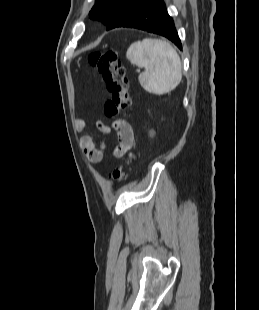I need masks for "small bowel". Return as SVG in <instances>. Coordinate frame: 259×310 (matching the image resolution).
I'll return each instance as SVG.
<instances>
[{"label":"small bowel","mask_w":259,"mask_h":310,"mask_svg":"<svg viewBox=\"0 0 259 310\" xmlns=\"http://www.w3.org/2000/svg\"><path fill=\"white\" fill-rule=\"evenodd\" d=\"M74 125L75 129L79 132L87 128L86 122L80 118L75 120ZM97 127L103 133H110L111 128L116 130L119 143L114 149L115 157H122L131 151L135 142V135L132 126L128 122L117 120L113 122L111 127L102 122H98ZM79 145L91 163H98L102 160L103 151L106 146L105 141L101 142L100 146H98L91 136L81 135L79 138Z\"/></svg>","instance_id":"small-bowel-1"}]
</instances>
